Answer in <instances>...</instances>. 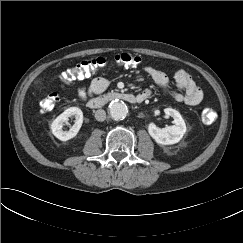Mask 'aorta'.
I'll list each match as a JSON object with an SVG mask.
<instances>
[{"mask_svg":"<svg viewBox=\"0 0 243 243\" xmlns=\"http://www.w3.org/2000/svg\"><path fill=\"white\" fill-rule=\"evenodd\" d=\"M109 114L114 120H123L128 114V107L122 100H115L109 106Z\"/></svg>","mask_w":243,"mask_h":243,"instance_id":"1","label":"aorta"}]
</instances>
